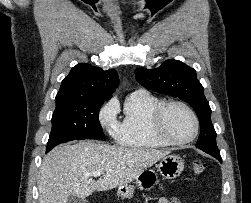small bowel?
<instances>
[{"mask_svg":"<svg viewBox=\"0 0 251 203\" xmlns=\"http://www.w3.org/2000/svg\"><path fill=\"white\" fill-rule=\"evenodd\" d=\"M158 203H181L180 200L176 198H166V197H161L158 201Z\"/></svg>","mask_w":251,"mask_h":203,"instance_id":"c3829d8e","label":"small bowel"}]
</instances>
